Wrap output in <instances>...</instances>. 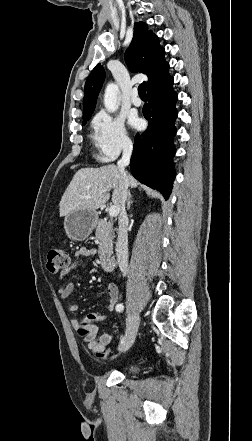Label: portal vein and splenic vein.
<instances>
[{
  "label": "portal vein and splenic vein",
  "mask_w": 252,
  "mask_h": 441,
  "mask_svg": "<svg viewBox=\"0 0 252 441\" xmlns=\"http://www.w3.org/2000/svg\"><path fill=\"white\" fill-rule=\"evenodd\" d=\"M105 192V191H103ZM86 198H89V196H87ZM119 208L117 206H111L109 208V216L111 217H116L119 214Z\"/></svg>",
  "instance_id": "obj_1"
}]
</instances>
